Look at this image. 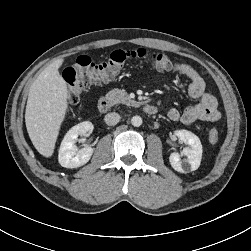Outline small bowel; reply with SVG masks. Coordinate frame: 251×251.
Wrapping results in <instances>:
<instances>
[{
	"instance_id": "1",
	"label": "small bowel",
	"mask_w": 251,
	"mask_h": 251,
	"mask_svg": "<svg viewBox=\"0 0 251 251\" xmlns=\"http://www.w3.org/2000/svg\"><path fill=\"white\" fill-rule=\"evenodd\" d=\"M176 71L183 74L190 80L188 95L192 99L199 101L180 111L171 108L167 112V117L171 121H180L185 125H192L198 122H214L220 118L217 108V99L214 95L206 92L205 81L199 73L190 65L180 63L176 66Z\"/></svg>"
}]
</instances>
